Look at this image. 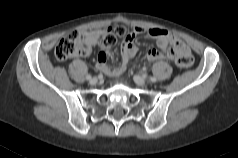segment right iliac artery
<instances>
[{"mask_svg":"<svg viewBox=\"0 0 238 158\" xmlns=\"http://www.w3.org/2000/svg\"><path fill=\"white\" fill-rule=\"evenodd\" d=\"M86 79L90 80V79H91V76H90V75H87V76H86Z\"/></svg>","mask_w":238,"mask_h":158,"instance_id":"1","label":"right iliac artery"}]
</instances>
